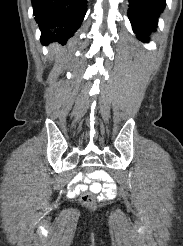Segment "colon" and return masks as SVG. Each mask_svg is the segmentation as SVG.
Instances as JSON below:
<instances>
[{"label": "colon", "mask_w": 183, "mask_h": 246, "mask_svg": "<svg viewBox=\"0 0 183 246\" xmlns=\"http://www.w3.org/2000/svg\"><path fill=\"white\" fill-rule=\"evenodd\" d=\"M93 170H95V167H84V172H92ZM81 202L86 207H92L95 204V197L92 193L85 192L81 196Z\"/></svg>", "instance_id": "obj_1"}]
</instances>
